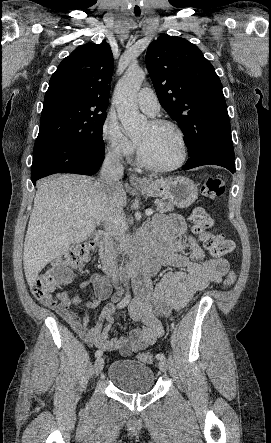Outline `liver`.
Listing matches in <instances>:
<instances>
[{
    "label": "liver",
    "instance_id": "6515ba94",
    "mask_svg": "<svg viewBox=\"0 0 271 443\" xmlns=\"http://www.w3.org/2000/svg\"><path fill=\"white\" fill-rule=\"evenodd\" d=\"M126 204L122 184L105 196L96 188L95 178L88 176L57 174L40 180L24 241L28 285H34L39 271L71 243L85 241L98 223L123 220Z\"/></svg>",
    "mask_w": 271,
    "mask_h": 443
}]
</instances>
